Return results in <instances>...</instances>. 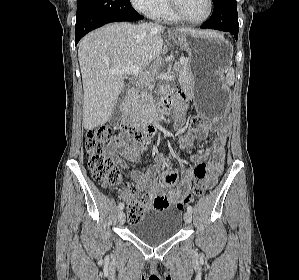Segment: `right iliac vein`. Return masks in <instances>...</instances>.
<instances>
[{"mask_svg":"<svg viewBox=\"0 0 299 280\" xmlns=\"http://www.w3.org/2000/svg\"><path fill=\"white\" fill-rule=\"evenodd\" d=\"M125 220H126L125 213L123 211H119V213H118V222L120 224H124Z\"/></svg>","mask_w":299,"mask_h":280,"instance_id":"obj_1","label":"right iliac vein"}]
</instances>
